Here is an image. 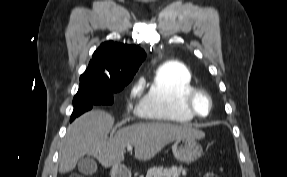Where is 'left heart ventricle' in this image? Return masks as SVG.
Instances as JSON below:
<instances>
[{"instance_id":"b2bd125f","label":"left heart ventricle","mask_w":287,"mask_h":177,"mask_svg":"<svg viewBox=\"0 0 287 177\" xmlns=\"http://www.w3.org/2000/svg\"><path fill=\"white\" fill-rule=\"evenodd\" d=\"M196 108L201 114H206L208 110V102L205 97L199 96L196 99Z\"/></svg>"}]
</instances>
